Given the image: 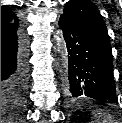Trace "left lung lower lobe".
<instances>
[{
    "instance_id": "0a47b994",
    "label": "left lung lower lobe",
    "mask_w": 122,
    "mask_h": 123,
    "mask_svg": "<svg viewBox=\"0 0 122 123\" xmlns=\"http://www.w3.org/2000/svg\"><path fill=\"white\" fill-rule=\"evenodd\" d=\"M59 26L68 52L64 76L67 98L117 102L110 42L65 15H61Z\"/></svg>"
}]
</instances>
